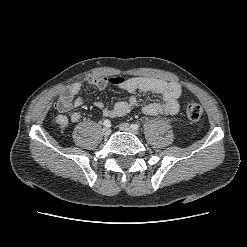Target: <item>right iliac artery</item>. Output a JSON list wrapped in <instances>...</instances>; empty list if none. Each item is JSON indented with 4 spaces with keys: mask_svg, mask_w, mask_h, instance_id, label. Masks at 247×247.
I'll list each match as a JSON object with an SVG mask.
<instances>
[{
    "mask_svg": "<svg viewBox=\"0 0 247 247\" xmlns=\"http://www.w3.org/2000/svg\"><path fill=\"white\" fill-rule=\"evenodd\" d=\"M103 125L106 126V127L111 126L110 120H108V119L104 120Z\"/></svg>",
    "mask_w": 247,
    "mask_h": 247,
    "instance_id": "82829eb1",
    "label": "right iliac artery"
}]
</instances>
